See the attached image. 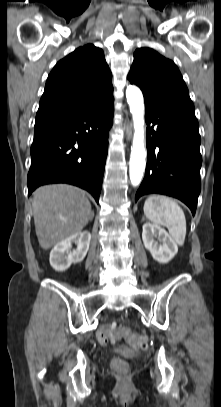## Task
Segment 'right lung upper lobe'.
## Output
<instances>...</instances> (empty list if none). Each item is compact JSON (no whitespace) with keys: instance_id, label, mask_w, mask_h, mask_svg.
<instances>
[{"instance_id":"obj_1","label":"right lung upper lobe","mask_w":221,"mask_h":407,"mask_svg":"<svg viewBox=\"0 0 221 407\" xmlns=\"http://www.w3.org/2000/svg\"><path fill=\"white\" fill-rule=\"evenodd\" d=\"M112 94V74L103 51L92 44L79 47L49 74L35 124L84 111Z\"/></svg>"}]
</instances>
